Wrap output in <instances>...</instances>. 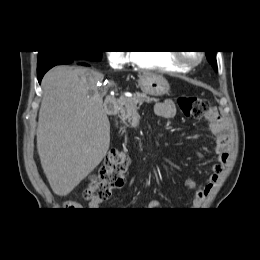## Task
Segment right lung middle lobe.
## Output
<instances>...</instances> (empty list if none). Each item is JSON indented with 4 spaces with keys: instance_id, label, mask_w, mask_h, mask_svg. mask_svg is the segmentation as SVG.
Wrapping results in <instances>:
<instances>
[{
    "instance_id": "dd1d6c3e",
    "label": "right lung middle lobe",
    "mask_w": 260,
    "mask_h": 260,
    "mask_svg": "<svg viewBox=\"0 0 260 260\" xmlns=\"http://www.w3.org/2000/svg\"><path fill=\"white\" fill-rule=\"evenodd\" d=\"M102 51H39L37 71H41L63 60L100 61Z\"/></svg>"
}]
</instances>
